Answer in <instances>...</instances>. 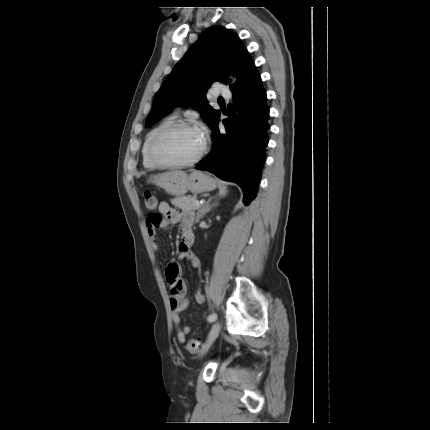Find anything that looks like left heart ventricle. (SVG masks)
Masks as SVG:
<instances>
[{
  "instance_id": "obj_1",
  "label": "left heart ventricle",
  "mask_w": 430,
  "mask_h": 430,
  "mask_svg": "<svg viewBox=\"0 0 430 430\" xmlns=\"http://www.w3.org/2000/svg\"><path fill=\"white\" fill-rule=\"evenodd\" d=\"M203 143L197 129H177L158 142L156 154L165 161H187L201 151Z\"/></svg>"
}]
</instances>
